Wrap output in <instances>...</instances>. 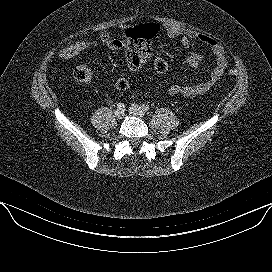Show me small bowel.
<instances>
[{"mask_svg":"<svg viewBox=\"0 0 272 272\" xmlns=\"http://www.w3.org/2000/svg\"><path fill=\"white\" fill-rule=\"evenodd\" d=\"M121 35L113 37L110 32L105 31L101 34L102 43L113 52H123L128 68L132 71L140 69L151 57V46H146L140 38L134 34V27L121 25ZM166 34L170 38H179L182 47L189 48L192 41L208 47L215 58V65L209 77L197 84H173L169 88L171 95H182L186 97L201 96L207 93L214 84L222 77L227 68V56L223 46L214 38L189 29H182L176 25H166ZM203 56L199 53H190L185 57V62L192 69L201 68Z\"/></svg>","mask_w":272,"mask_h":272,"instance_id":"obj_1","label":"small bowel"}]
</instances>
